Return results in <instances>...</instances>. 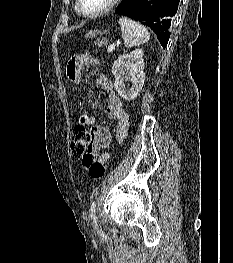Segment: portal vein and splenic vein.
<instances>
[{
	"label": "portal vein and splenic vein",
	"mask_w": 233,
	"mask_h": 263,
	"mask_svg": "<svg viewBox=\"0 0 233 263\" xmlns=\"http://www.w3.org/2000/svg\"><path fill=\"white\" fill-rule=\"evenodd\" d=\"M114 49H115V44H111V45L108 47L107 51H108V52H112Z\"/></svg>",
	"instance_id": "obj_1"
}]
</instances>
